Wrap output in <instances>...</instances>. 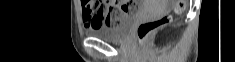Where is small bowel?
<instances>
[{"instance_id": "1", "label": "small bowel", "mask_w": 235, "mask_h": 62, "mask_svg": "<svg viewBox=\"0 0 235 62\" xmlns=\"http://www.w3.org/2000/svg\"><path fill=\"white\" fill-rule=\"evenodd\" d=\"M114 6L122 7L124 15L132 13L134 11V5L129 2H113L108 8L97 6L94 8L92 1H81L82 18L84 26L87 30L97 29L103 26L104 23H108V17L110 9Z\"/></svg>"}]
</instances>
